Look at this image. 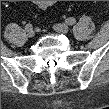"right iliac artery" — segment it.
<instances>
[{"label":"right iliac artery","mask_w":109,"mask_h":109,"mask_svg":"<svg viewBox=\"0 0 109 109\" xmlns=\"http://www.w3.org/2000/svg\"><path fill=\"white\" fill-rule=\"evenodd\" d=\"M25 29H26V30L32 29V24H31V23H28V24L25 26Z\"/></svg>","instance_id":"right-iliac-artery-1"}]
</instances>
